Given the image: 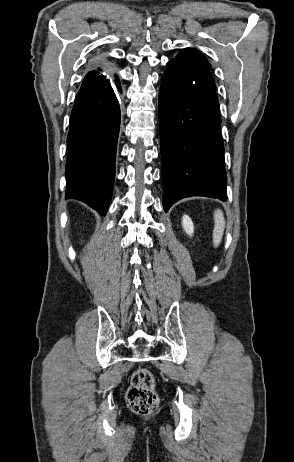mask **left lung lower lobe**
<instances>
[{"label": "left lung lower lobe", "mask_w": 294, "mask_h": 462, "mask_svg": "<svg viewBox=\"0 0 294 462\" xmlns=\"http://www.w3.org/2000/svg\"><path fill=\"white\" fill-rule=\"evenodd\" d=\"M163 207L190 196L226 200L219 102L209 68L173 59L161 78Z\"/></svg>", "instance_id": "0a47b994"}]
</instances>
